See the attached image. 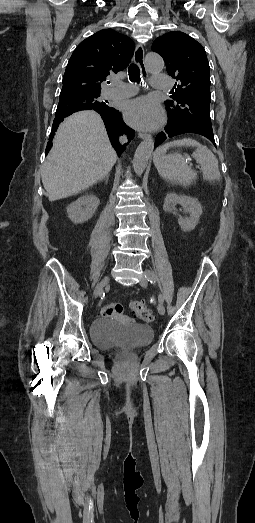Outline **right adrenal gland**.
Wrapping results in <instances>:
<instances>
[{"label": "right adrenal gland", "mask_w": 255, "mask_h": 523, "mask_svg": "<svg viewBox=\"0 0 255 523\" xmlns=\"http://www.w3.org/2000/svg\"><path fill=\"white\" fill-rule=\"evenodd\" d=\"M104 178H105L106 182H108V180H109V174H107V176H104Z\"/></svg>", "instance_id": "right-adrenal-gland-1"}]
</instances>
